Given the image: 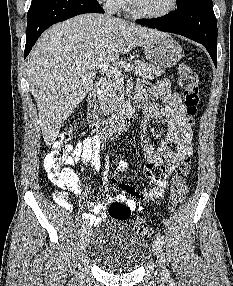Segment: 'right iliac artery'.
Listing matches in <instances>:
<instances>
[{
    "label": "right iliac artery",
    "instance_id": "1",
    "mask_svg": "<svg viewBox=\"0 0 233 286\" xmlns=\"http://www.w3.org/2000/svg\"><path fill=\"white\" fill-rule=\"evenodd\" d=\"M86 227H87V223H83V224L81 225L80 232H83Z\"/></svg>",
    "mask_w": 233,
    "mask_h": 286
}]
</instances>
